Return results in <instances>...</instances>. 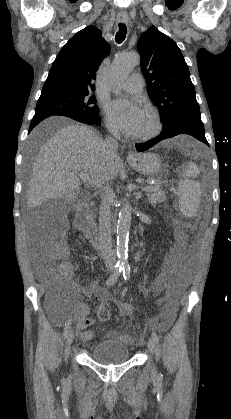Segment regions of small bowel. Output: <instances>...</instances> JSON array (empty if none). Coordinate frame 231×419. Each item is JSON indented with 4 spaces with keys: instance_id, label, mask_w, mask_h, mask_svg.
<instances>
[{
    "instance_id": "1",
    "label": "small bowel",
    "mask_w": 231,
    "mask_h": 419,
    "mask_svg": "<svg viewBox=\"0 0 231 419\" xmlns=\"http://www.w3.org/2000/svg\"><path fill=\"white\" fill-rule=\"evenodd\" d=\"M178 257L177 252L170 253L166 259L165 264L163 266L162 272L160 273L157 281V288L158 290L167 289V295H168V303L170 305L169 314L172 316L175 312V308L177 306V290L175 285L168 281V275L167 271L170 268L172 262ZM81 295H88L89 293L87 291H80ZM98 297L104 301L105 299L110 297V294L106 290H102ZM117 303L119 304L121 308L122 315L125 317L131 316L138 308V304L122 300V299H116ZM105 306L104 303H101L99 308ZM98 308V309H99ZM76 310L79 314V317L76 320V329L81 334L82 338L85 341L91 340L93 334L91 331H88L87 328L94 324V319L89 317V307L84 302L78 301L76 304Z\"/></svg>"
}]
</instances>
